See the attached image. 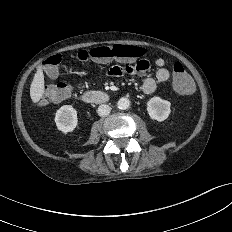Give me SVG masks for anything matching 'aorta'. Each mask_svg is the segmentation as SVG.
Wrapping results in <instances>:
<instances>
[{
  "label": "aorta",
  "mask_w": 232,
  "mask_h": 232,
  "mask_svg": "<svg viewBox=\"0 0 232 232\" xmlns=\"http://www.w3.org/2000/svg\"><path fill=\"white\" fill-rule=\"evenodd\" d=\"M130 106V100L126 97H122L118 100L117 107L121 110H126Z\"/></svg>",
  "instance_id": "1"
}]
</instances>
